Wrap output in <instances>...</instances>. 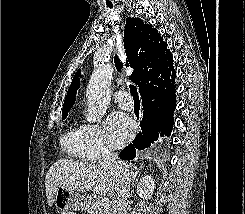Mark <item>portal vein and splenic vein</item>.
I'll return each instance as SVG.
<instances>
[{
  "label": "portal vein and splenic vein",
  "mask_w": 245,
  "mask_h": 214,
  "mask_svg": "<svg viewBox=\"0 0 245 214\" xmlns=\"http://www.w3.org/2000/svg\"><path fill=\"white\" fill-rule=\"evenodd\" d=\"M110 204V199L107 197H103L100 199V206L107 207Z\"/></svg>",
  "instance_id": "18ae733b"
}]
</instances>
